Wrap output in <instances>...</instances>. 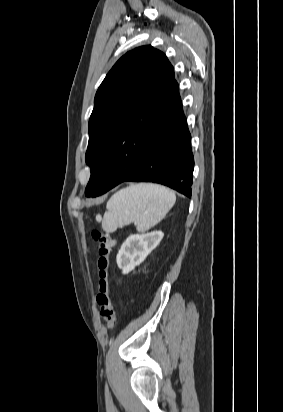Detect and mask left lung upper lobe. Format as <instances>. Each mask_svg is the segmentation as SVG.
I'll list each match as a JSON object with an SVG mask.
<instances>
[{"instance_id":"obj_1","label":"left lung upper lobe","mask_w":283,"mask_h":412,"mask_svg":"<svg viewBox=\"0 0 283 412\" xmlns=\"http://www.w3.org/2000/svg\"><path fill=\"white\" fill-rule=\"evenodd\" d=\"M178 97L173 67L162 52L143 46L117 61L96 93L89 120L85 159L91 177L86 196L96 197L100 191V184L92 179L99 155L123 153V159L132 156L138 161Z\"/></svg>"}]
</instances>
